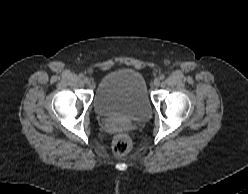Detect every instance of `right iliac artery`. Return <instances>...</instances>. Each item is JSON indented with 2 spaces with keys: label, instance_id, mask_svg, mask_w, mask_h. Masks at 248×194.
<instances>
[{
  "label": "right iliac artery",
  "instance_id": "obj_1",
  "mask_svg": "<svg viewBox=\"0 0 248 194\" xmlns=\"http://www.w3.org/2000/svg\"><path fill=\"white\" fill-rule=\"evenodd\" d=\"M79 77H80V78H83V77H84V74L80 73V74H79Z\"/></svg>",
  "mask_w": 248,
  "mask_h": 194
}]
</instances>
